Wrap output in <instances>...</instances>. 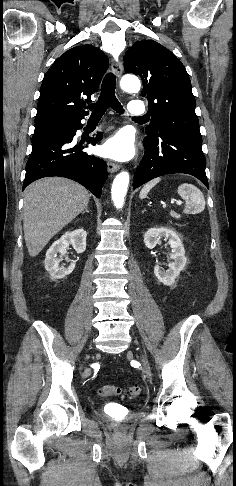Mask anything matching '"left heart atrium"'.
Masks as SVG:
<instances>
[{
  "instance_id": "obj_1",
  "label": "left heart atrium",
  "mask_w": 236,
  "mask_h": 486,
  "mask_svg": "<svg viewBox=\"0 0 236 486\" xmlns=\"http://www.w3.org/2000/svg\"><path fill=\"white\" fill-rule=\"evenodd\" d=\"M101 154L118 161L129 160L135 154L134 142L127 133L119 132L101 146Z\"/></svg>"
}]
</instances>
